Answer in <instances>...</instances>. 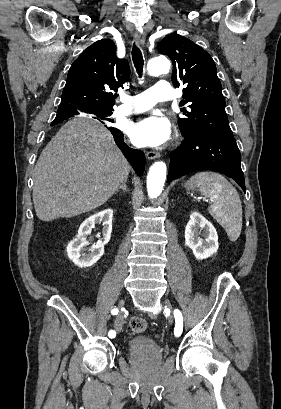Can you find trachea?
I'll return each instance as SVG.
<instances>
[{
	"label": "trachea",
	"mask_w": 281,
	"mask_h": 409,
	"mask_svg": "<svg viewBox=\"0 0 281 409\" xmlns=\"http://www.w3.org/2000/svg\"><path fill=\"white\" fill-rule=\"evenodd\" d=\"M131 54L134 66L137 70L139 77L141 78L143 73L144 60L141 50L135 45V43L133 45Z\"/></svg>",
	"instance_id": "trachea-1"
}]
</instances>
